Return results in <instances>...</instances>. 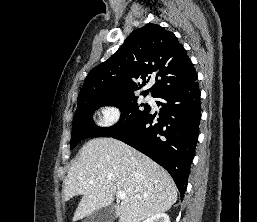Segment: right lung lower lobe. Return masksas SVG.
Here are the masks:
<instances>
[{
  "mask_svg": "<svg viewBox=\"0 0 257 222\" xmlns=\"http://www.w3.org/2000/svg\"><path fill=\"white\" fill-rule=\"evenodd\" d=\"M160 113L149 110L112 138L123 141L165 168L183 198L195 154L201 118L197 77L190 83L157 93Z\"/></svg>",
  "mask_w": 257,
  "mask_h": 222,
  "instance_id": "1",
  "label": "right lung lower lobe"
}]
</instances>
